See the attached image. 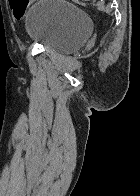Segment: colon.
I'll return each mask as SVG.
<instances>
[{
    "label": "colon",
    "mask_w": 140,
    "mask_h": 196,
    "mask_svg": "<svg viewBox=\"0 0 140 196\" xmlns=\"http://www.w3.org/2000/svg\"><path fill=\"white\" fill-rule=\"evenodd\" d=\"M11 2H12V3H16V1H14V0H11Z\"/></svg>",
    "instance_id": "colon-1"
}]
</instances>
